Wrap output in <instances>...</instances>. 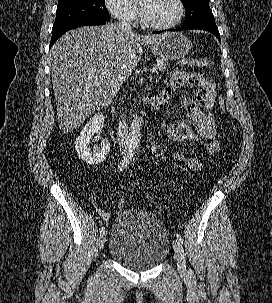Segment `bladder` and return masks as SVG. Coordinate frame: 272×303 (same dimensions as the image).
<instances>
[{"label":"bladder","instance_id":"1","mask_svg":"<svg viewBox=\"0 0 272 303\" xmlns=\"http://www.w3.org/2000/svg\"><path fill=\"white\" fill-rule=\"evenodd\" d=\"M170 249L166 226L155 214L138 209L122 211L115 219L109 255L132 270H148L161 264Z\"/></svg>","mask_w":272,"mask_h":303}]
</instances>
